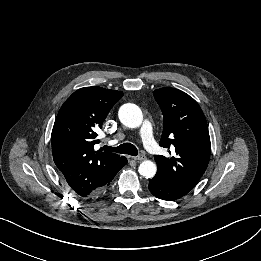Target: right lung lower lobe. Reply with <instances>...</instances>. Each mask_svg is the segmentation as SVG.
I'll return each instance as SVG.
<instances>
[{
    "instance_id": "obj_1",
    "label": "right lung lower lobe",
    "mask_w": 261,
    "mask_h": 261,
    "mask_svg": "<svg viewBox=\"0 0 261 261\" xmlns=\"http://www.w3.org/2000/svg\"><path fill=\"white\" fill-rule=\"evenodd\" d=\"M126 164H127V159L125 158V160L120 163V165L118 166V168H117L116 171L114 172V174H113L112 178L110 179V181H109L103 188H101L95 195L100 194V193L110 184L111 180L114 178V176L117 174V172H118L123 166H125ZM95 195H94V196H95Z\"/></svg>"
}]
</instances>
